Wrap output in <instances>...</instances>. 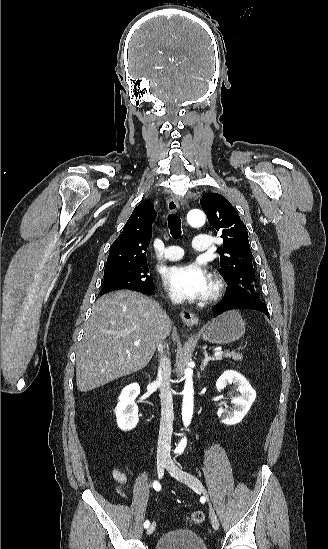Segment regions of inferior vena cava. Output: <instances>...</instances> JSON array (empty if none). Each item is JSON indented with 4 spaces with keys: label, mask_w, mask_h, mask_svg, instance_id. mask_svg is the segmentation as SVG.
<instances>
[{
    "label": "inferior vena cava",
    "mask_w": 328,
    "mask_h": 549,
    "mask_svg": "<svg viewBox=\"0 0 328 549\" xmlns=\"http://www.w3.org/2000/svg\"><path fill=\"white\" fill-rule=\"evenodd\" d=\"M164 345L159 343L158 351L162 355ZM171 367L167 357H161L158 373L160 399H161V421L157 447V455H169L171 449V435L173 425V399L170 385Z\"/></svg>",
    "instance_id": "602c4592"
}]
</instances>
